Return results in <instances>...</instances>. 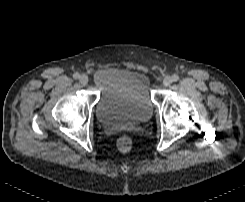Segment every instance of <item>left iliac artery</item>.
<instances>
[{
    "label": "left iliac artery",
    "instance_id": "1",
    "mask_svg": "<svg viewBox=\"0 0 245 202\" xmlns=\"http://www.w3.org/2000/svg\"><path fill=\"white\" fill-rule=\"evenodd\" d=\"M172 80H173L174 82H177V81L179 80V76H178L177 74H174V75L172 76Z\"/></svg>",
    "mask_w": 245,
    "mask_h": 202
}]
</instances>
